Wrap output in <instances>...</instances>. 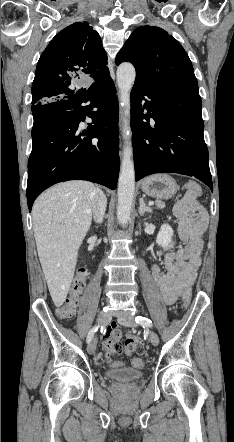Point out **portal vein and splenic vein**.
Masks as SVG:
<instances>
[{"instance_id":"1","label":"portal vein and splenic vein","mask_w":234,"mask_h":442,"mask_svg":"<svg viewBox=\"0 0 234 442\" xmlns=\"http://www.w3.org/2000/svg\"><path fill=\"white\" fill-rule=\"evenodd\" d=\"M149 205H150V206H151V205H154V202H150Z\"/></svg>"}]
</instances>
